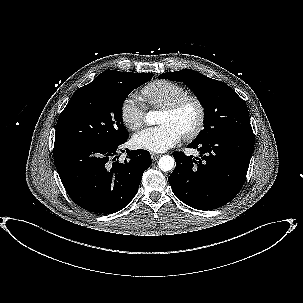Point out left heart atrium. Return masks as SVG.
Instances as JSON below:
<instances>
[{
	"mask_svg": "<svg viewBox=\"0 0 303 303\" xmlns=\"http://www.w3.org/2000/svg\"><path fill=\"white\" fill-rule=\"evenodd\" d=\"M181 138L182 133L174 125L165 123L138 132L132 141L139 149L164 152L179 143Z\"/></svg>",
	"mask_w": 303,
	"mask_h": 303,
	"instance_id": "obj_1",
	"label": "left heart atrium"
}]
</instances>
